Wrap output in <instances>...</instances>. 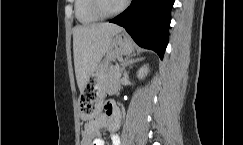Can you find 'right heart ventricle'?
Returning <instances> with one entry per match:
<instances>
[{
  "label": "right heart ventricle",
  "instance_id": "obj_1",
  "mask_svg": "<svg viewBox=\"0 0 243 145\" xmlns=\"http://www.w3.org/2000/svg\"><path fill=\"white\" fill-rule=\"evenodd\" d=\"M75 16L83 25H92L101 19L92 9V0H75Z\"/></svg>",
  "mask_w": 243,
  "mask_h": 145
}]
</instances>
